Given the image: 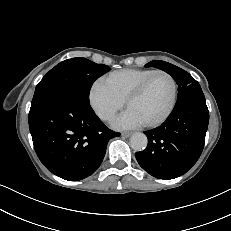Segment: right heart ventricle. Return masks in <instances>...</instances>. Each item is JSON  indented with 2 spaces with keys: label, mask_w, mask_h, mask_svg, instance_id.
<instances>
[{
  "label": "right heart ventricle",
  "mask_w": 231,
  "mask_h": 231,
  "mask_svg": "<svg viewBox=\"0 0 231 231\" xmlns=\"http://www.w3.org/2000/svg\"><path fill=\"white\" fill-rule=\"evenodd\" d=\"M152 71L154 70L147 68L122 69L111 72L102 81L114 94L125 101L131 91Z\"/></svg>",
  "instance_id": "right-heart-ventricle-1"
}]
</instances>
